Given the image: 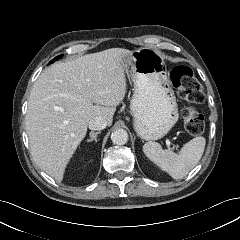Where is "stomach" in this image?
I'll use <instances>...</instances> for the list:
<instances>
[{
    "label": "stomach",
    "mask_w": 240,
    "mask_h": 240,
    "mask_svg": "<svg viewBox=\"0 0 240 240\" xmlns=\"http://www.w3.org/2000/svg\"><path fill=\"white\" fill-rule=\"evenodd\" d=\"M122 66L134 85L130 109L137 135L143 140L162 138L179 118L164 57L157 50L142 48L124 56Z\"/></svg>",
    "instance_id": "1"
}]
</instances>
